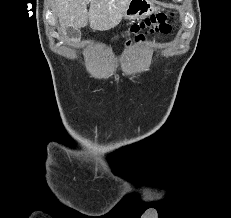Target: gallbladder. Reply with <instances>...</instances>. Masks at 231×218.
Wrapping results in <instances>:
<instances>
[{"mask_svg": "<svg viewBox=\"0 0 231 218\" xmlns=\"http://www.w3.org/2000/svg\"><path fill=\"white\" fill-rule=\"evenodd\" d=\"M67 36L69 39H72V40H79L80 37H81V32L79 29H74L72 27H69L67 29Z\"/></svg>", "mask_w": 231, "mask_h": 218, "instance_id": "1", "label": "gallbladder"}]
</instances>
